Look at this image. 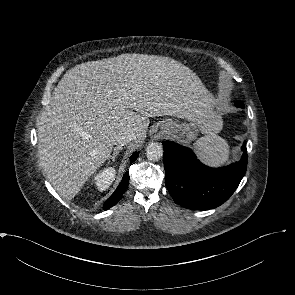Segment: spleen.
<instances>
[{
  "label": "spleen",
  "mask_w": 295,
  "mask_h": 295,
  "mask_svg": "<svg viewBox=\"0 0 295 295\" xmlns=\"http://www.w3.org/2000/svg\"><path fill=\"white\" fill-rule=\"evenodd\" d=\"M200 159L210 166H221L228 162L230 147L228 142L215 134L199 138L194 144Z\"/></svg>",
  "instance_id": "1"
}]
</instances>
